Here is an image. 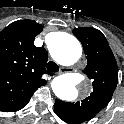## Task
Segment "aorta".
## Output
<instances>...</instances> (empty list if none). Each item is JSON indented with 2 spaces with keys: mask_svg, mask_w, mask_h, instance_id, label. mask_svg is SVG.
Instances as JSON below:
<instances>
[{
  "mask_svg": "<svg viewBox=\"0 0 124 124\" xmlns=\"http://www.w3.org/2000/svg\"><path fill=\"white\" fill-rule=\"evenodd\" d=\"M52 57L62 65L76 63L82 55L80 42L71 34L60 32L51 44ZM82 75L67 73L55 77L51 82L54 94L61 100L72 101L78 96L77 85L82 80Z\"/></svg>",
  "mask_w": 124,
  "mask_h": 124,
  "instance_id": "1",
  "label": "aorta"
}]
</instances>
